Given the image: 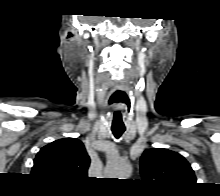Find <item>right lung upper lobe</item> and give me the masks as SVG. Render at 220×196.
Instances as JSON below:
<instances>
[{
	"mask_svg": "<svg viewBox=\"0 0 220 196\" xmlns=\"http://www.w3.org/2000/svg\"><path fill=\"white\" fill-rule=\"evenodd\" d=\"M90 158L77 138H64L44 146L31 174L51 184L79 185L87 178Z\"/></svg>",
	"mask_w": 220,
	"mask_h": 196,
	"instance_id": "cb5924a9",
	"label": "right lung upper lobe"
}]
</instances>
